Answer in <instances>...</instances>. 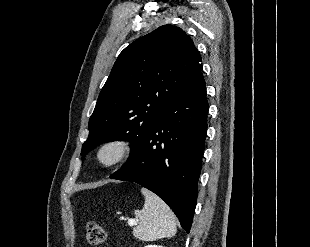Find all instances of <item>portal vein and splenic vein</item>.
I'll list each match as a JSON object with an SVG mask.
<instances>
[{
    "instance_id": "1",
    "label": "portal vein and splenic vein",
    "mask_w": 310,
    "mask_h": 247,
    "mask_svg": "<svg viewBox=\"0 0 310 247\" xmlns=\"http://www.w3.org/2000/svg\"><path fill=\"white\" fill-rule=\"evenodd\" d=\"M137 222L135 221V220H128V224L130 225V226H133V225H135Z\"/></svg>"
}]
</instances>
